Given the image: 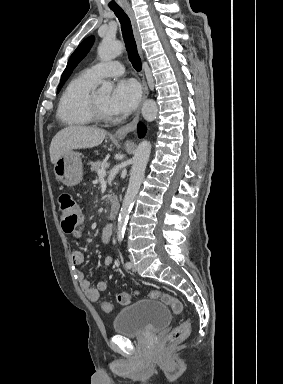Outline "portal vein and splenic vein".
I'll list each match as a JSON object with an SVG mask.
<instances>
[{
    "instance_id": "18ae733b",
    "label": "portal vein and splenic vein",
    "mask_w": 283,
    "mask_h": 384,
    "mask_svg": "<svg viewBox=\"0 0 283 384\" xmlns=\"http://www.w3.org/2000/svg\"><path fill=\"white\" fill-rule=\"evenodd\" d=\"M98 176L99 178H105L106 176L105 170H98Z\"/></svg>"
}]
</instances>
